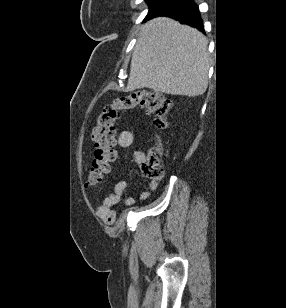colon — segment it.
<instances>
[{
	"label": "colon",
	"mask_w": 286,
	"mask_h": 308,
	"mask_svg": "<svg viewBox=\"0 0 286 308\" xmlns=\"http://www.w3.org/2000/svg\"><path fill=\"white\" fill-rule=\"evenodd\" d=\"M172 102L161 93L150 89H140L116 97L104 106L92 133L95 145L94 161L88 171L86 186L99 185L109 171L110 163L115 159L116 123L120 112L137 108L145 109L154 116L153 124L158 130H165L169 123L167 115ZM142 172L151 180H160L163 174L161 165V148L154 146L142 162Z\"/></svg>",
	"instance_id": "obj_1"
}]
</instances>
